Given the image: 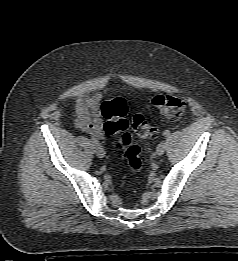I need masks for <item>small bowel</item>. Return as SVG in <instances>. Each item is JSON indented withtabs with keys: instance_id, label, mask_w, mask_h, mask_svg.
Here are the masks:
<instances>
[{
	"instance_id": "obj_1",
	"label": "small bowel",
	"mask_w": 238,
	"mask_h": 261,
	"mask_svg": "<svg viewBox=\"0 0 238 261\" xmlns=\"http://www.w3.org/2000/svg\"><path fill=\"white\" fill-rule=\"evenodd\" d=\"M102 98L99 94L79 97L75 104V125L96 140L104 139Z\"/></svg>"
}]
</instances>
